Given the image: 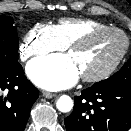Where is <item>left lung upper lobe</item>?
<instances>
[{
  "mask_svg": "<svg viewBox=\"0 0 131 131\" xmlns=\"http://www.w3.org/2000/svg\"><path fill=\"white\" fill-rule=\"evenodd\" d=\"M94 85L104 88H131V58L117 73Z\"/></svg>",
  "mask_w": 131,
  "mask_h": 131,
  "instance_id": "obj_1",
  "label": "left lung upper lobe"
}]
</instances>
